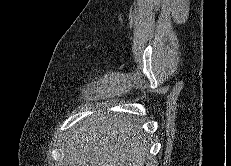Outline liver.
<instances>
[{
  "instance_id": "obj_1",
  "label": "liver",
  "mask_w": 231,
  "mask_h": 166,
  "mask_svg": "<svg viewBox=\"0 0 231 166\" xmlns=\"http://www.w3.org/2000/svg\"><path fill=\"white\" fill-rule=\"evenodd\" d=\"M148 151L136 124L109 113L82 120L64 146L66 166H144Z\"/></svg>"
}]
</instances>
